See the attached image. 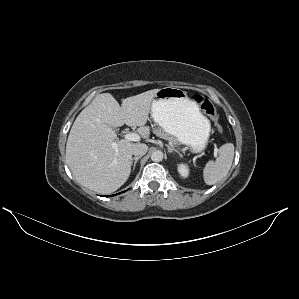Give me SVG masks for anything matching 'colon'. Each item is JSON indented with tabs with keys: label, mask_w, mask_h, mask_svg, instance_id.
Returning a JSON list of instances; mask_svg holds the SVG:
<instances>
[{
	"label": "colon",
	"mask_w": 299,
	"mask_h": 299,
	"mask_svg": "<svg viewBox=\"0 0 299 299\" xmlns=\"http://www.w3.org/2000/svg\"><path fill=\"white\" fill-rule=\"evenodd\" d=\"M199 108L210 118L215 124L218 131L222 132V126L219 123V117L214 105L204 96L196 94L193 97Z\"/></svg>",
	"instance_id": "5ec220e1"
}]
</instances>
